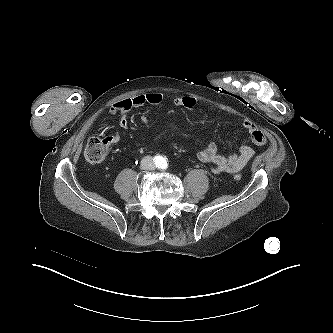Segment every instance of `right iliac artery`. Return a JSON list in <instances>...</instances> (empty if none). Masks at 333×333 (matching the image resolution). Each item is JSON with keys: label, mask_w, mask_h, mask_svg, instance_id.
I'll return each instance as SVG.
<instances>
[{"label": "right iliac artery", "mask_w": 333, "mask_h": 333, "mask_svg": "<svg viewBox=\"0 0 333 333\" xmlns=\"http://www.w3.org/2000/svg\"><path fill=\"white\" fill-rule=\"evenodd\" d=\"M161 157L160 156H155L153 161L155 163V165H159L161 163Z\"/></svg>", "instance_id": "obj_1"}]
</instances>
